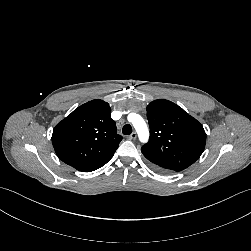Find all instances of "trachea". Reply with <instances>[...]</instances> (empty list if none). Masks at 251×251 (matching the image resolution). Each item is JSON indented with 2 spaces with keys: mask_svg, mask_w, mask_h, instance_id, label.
<instances>
[{
  "mask_svg": "<svg viewBox=\"0 0 251 251\" xmlns=\"http://www.w3.org/2000/svg\"><path fill=\"white\" fill-rule=\"evenodd\" d=\"M122 133L124 135H130L132 133L131 125H129V124L124 125L123 128H122Z\"/></svg>",
  "mask_w": 251,
  "mask_h": 251,
  "instance_id": "obj_1",
  "label": "trachea"
}]
</instances>
